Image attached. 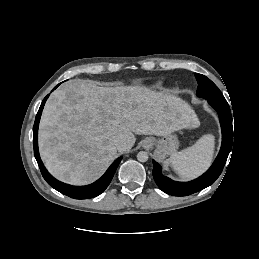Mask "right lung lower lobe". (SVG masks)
<instances>
[{"label":"right lung lower lobe","mask_w":259,"mask_h":259,"mask_svg":"<svg viewBox=\"0 0 259 259\" xmlns=\"http://www.w3.org/2000/svg\"><path fill=\"white\" fill-rule=\"evenodd\" d=\"M59 86V84L54 88L56 89ZM53 89V90H54ZM49 95H47L44 100L41 103V106L38 110V113L36 115L35 123L33 126V147H34V155L37 160V163L39 165L40 171L42 173V176L46 180V182L52 186L55 190L59 191L60 193L67 195L71 198L75 199H88L93 198L101 194L109 185L111 182L113 175L122 159V157H119L116 159L112 165L108 168V170L105 172V174L96 182H94L91 185L88 186H71L65 183H62L55 179L44 167L38 151V126L40 121V116L44 107V104L47 100Z\"/></svg>","instance_id":"right-lung-lower-lobe-1"}]
</instances>
